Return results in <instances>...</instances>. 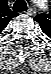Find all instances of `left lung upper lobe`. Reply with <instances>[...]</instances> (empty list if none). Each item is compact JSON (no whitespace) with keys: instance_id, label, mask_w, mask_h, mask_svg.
<instances>
[{"instance_id":"1","label":"left lung upper lobe","mask_w":51,"mask_h":74,"mask_svg":"<svg viewBox=\"0 0 51 74\" xmlns=\"http://www.w3.org/2000/svg\"><path fill=\"white\" fill-rule=\"evenodd\" d=\"M35 21L39 22V24H42L43 25V21L45 20L44 18V14H40V15H37L35 18H34Z\"/></svg>"}]
</instances>
